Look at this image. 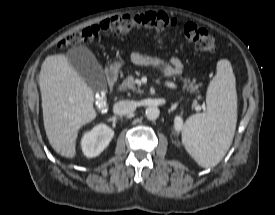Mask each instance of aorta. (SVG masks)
Segmentation results:
<instances>
[{"instance_id": "1", "label": "aorta", "mask_w": 275, "mask_h": 215, "mask_svg": "<svg viewBox=\"0 0 275 215\" xmlns=\"http://www.w3.org/2000/svg\"><path fill=\"white\" fill-rule=\"evenodd\" d=\"M145 115L149 120H156L160 115V110L155 106L146 108Z\"/></svg>"}]
</instances>
